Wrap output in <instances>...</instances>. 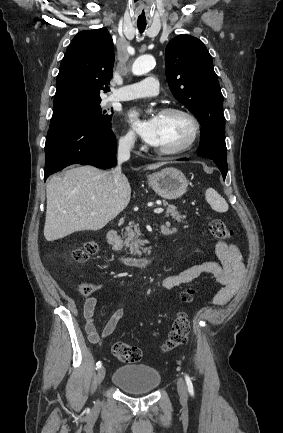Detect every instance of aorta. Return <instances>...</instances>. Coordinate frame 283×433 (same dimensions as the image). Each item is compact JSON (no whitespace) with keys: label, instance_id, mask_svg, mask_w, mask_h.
Listing matches in <instances>:
<instances>
[{"label":"aorta","instance_id":"762f6f07","mask_svg":"<svg viewBox=\"0 0 283 433\" xmlns=\"http://www.w3.org/2000/svg\"><path fill=\"white\" fill-rule=\"evenodd\" d=\"M155 66V59L151 55H143L138 57L132 66V73L136 76H141L148 73Z\"/></svg>","mask_w":283,"mask_h":433}]
</instances>
